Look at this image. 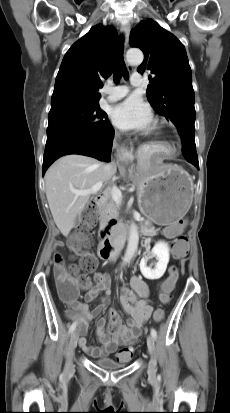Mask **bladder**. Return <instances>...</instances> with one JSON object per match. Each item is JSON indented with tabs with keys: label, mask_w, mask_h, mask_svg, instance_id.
I'll list each match as a JSON object with an SVG mask.
<instances>
[{
	"label": "bladder",
	"mask_w": 230,
	"mask_h": 413,
	"mask_svg": "<svg viewBox=\"0 0 230 413\" xmlns=\"http://www.w3.org/2000/svg\"><path fill=\"white\" fill-rule=\"evenodd\" d=\"M95 364L98 367L106 369V370L121 369L125 366V364L117 363L113 359L105 358V357L96 359Z\"/></svg>",
	"instance_id": "31cf9c89"
}]
</instances>
